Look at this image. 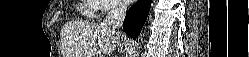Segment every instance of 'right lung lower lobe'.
Segmentation results:
<instances>
[{"instance_id":"98d812e1","label":"right lung lower lobe","mask_w":249,"mask_h":57,"mask_svg":"<svg viewBox=\"0 0 249 57\" xmlns=\"http://www.w3.org/2000/svg\"><path fill=\"white\" fill-rule=\"evenodd\" d=\"M150 6L151 0H139L127 12L123 28L133 39H136L140 34L142 26L149 14Z\"/></svg>"}]
</instances>
